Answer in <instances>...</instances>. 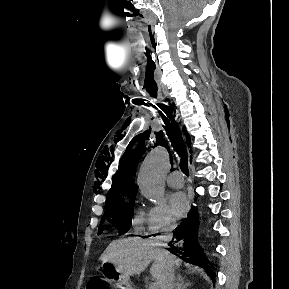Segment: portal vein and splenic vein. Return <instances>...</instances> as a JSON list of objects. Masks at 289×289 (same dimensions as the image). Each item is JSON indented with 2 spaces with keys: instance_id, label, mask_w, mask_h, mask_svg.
<instances>
[{
  "instance_id": "portal-vein-and-splenic-vein-1",
  "label": "portal vein and splenic vein",
  "mask_w": 289,
  "mask_h": 289,
  "mask_svg": "<svg viewBox=\"0 0 289 289\" xmlns=\"http://www.w3.org/2000/svg\"><path fill=\"white\" fill-rule=\"evenodd\" d=\"M149 289H158L157 283H153V284L149 287Z\"/></svg>"
}]
</instances>
